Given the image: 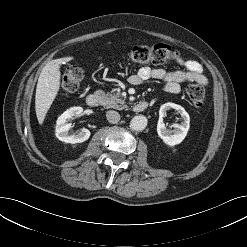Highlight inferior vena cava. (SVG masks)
Segmentation results:
<instances>
[{
    "label": "inferior vena cava",
    "mask_w": 247,
    "mask_h": 247,
    "mask_svg": "<svg viewBox=\"0 0 247 247\" xmlns=\"http://www.w3.org/2000/svg\"><path fill=\"white\" fill-rule=\"evenodd\" d=\"M106 118L110 123H118L120 121V114L117 111L109 110L106 112Z\"/></svg>",
    "instance_id": "602c4592"
}]
</instances>
